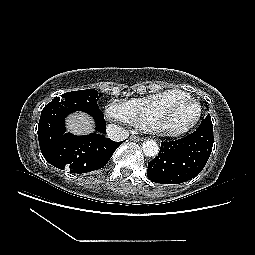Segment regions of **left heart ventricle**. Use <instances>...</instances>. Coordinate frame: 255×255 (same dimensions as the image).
Segmentation results:
<instances>
[{
	"label": "left heart ventricle",
	"mask_w": 255,
	"mask_h": 255,
	"mask_svg": "<svg viewBox=\"0 0 255 255\" xmlns=\"http://www.w3.org/2000/svg\"><path fill=\"white\" fill-rule=\"evenodd\" d=\"M195 114L194 106L179 102L171 107L163 117L165 125L176 128L189 122Z\"/></svg>",
	"instance_id": "left-heart-ventricle-1"
}]
</instances>
